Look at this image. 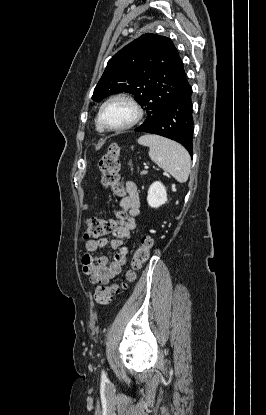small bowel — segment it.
<instances>
[{
    "label": "small bowel",
    "mask_w": 266,
    "mask_h": 415,
    "mask_svg": "<svg viewBox=\"0 0 266 415\" xmlns=\"http://www.w3.org/2000/svg\"><path fill=\"white\" fill-rule=\"evenodd\" d=\"M127 195L120 201V207L128 213L126 218L118 221L113 235L114 238L91 239L86 241L87 253L82 256L83 272L89 277L92 284H107L122 272L127 261L128 251L123 247V240L131 236L136 226V217L140 213V198L134 183H127ZM111 248L117 250L112 261L105 255L93 256L91 253L98 249Z\"/></svg>",
    "instance_id": "obj_1"
}]
</instances>
